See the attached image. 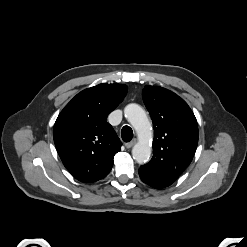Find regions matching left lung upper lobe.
Segmentation results:
<instances>
[{
  "instance_id": "obj_1",
  "label": "left lung upper lobe",
  "mask_w": 247,
  "mask_h": 247,
  "mask_svg": "<svg viewBox=\"0 0 247 247\" xmlns=\"http://www.w3.org/2000/svg\"><path fill=\"white\" fill-rule=\"evenodd\" d=\"M143 101L154 126L153 157L139 172L171 185L192 161L198 144L196 118L187 103L175 93L146 85Z\"/></svg>"
}]
</instances>
